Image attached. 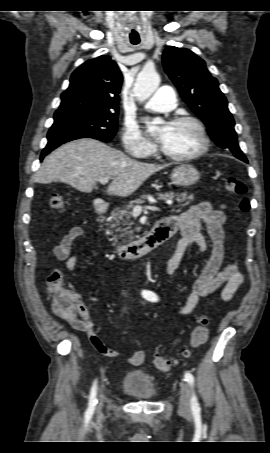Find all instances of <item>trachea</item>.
I'll return each instance as SVG.
<instances>
[{"instance_id":"3493384b","label":"trachea","mask_w":270,"mask_h":453,"mask_svg":"<svg viewBox=\"0 0 270 453\" xmlns=\"http://www.w3.org/2000/svg\"><path fill=\"white\" fill-rule=\"evenodd\" d=\"M133 45H137L139 42L136 41V42H131Z\"/></svg>"}]
</instances>
